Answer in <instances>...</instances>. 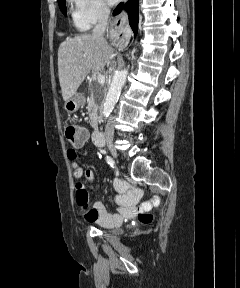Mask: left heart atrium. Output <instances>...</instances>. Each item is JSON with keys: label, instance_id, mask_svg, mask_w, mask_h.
Here are the masks:
<instances>
[{"label": "left heart atrium", "instance_id": "1", "mask_svg": "<svg viewBox=\"0 0 240 288\" xmlns=\"http://www.w3.org/2000/svg\"><path fill=\"white\" fill-rule=\"evenodd\" d=\"M119 0H107L110 5L117 3Z\"/></svg>", "mask_w": 240, "mask_h": 288}]
</instances>
